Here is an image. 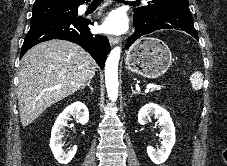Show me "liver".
<instances>
[{
	"instance_id": "1",
	"label": "liver",
	"mask_w": 227,
	"mask_h": 166,
	"mask_svg": "<svg viewBox=\"0 0 227 166\" xmlns=\"http://www.w3.org/2000/svg\"><path fill=\"white\" fill-rule=\"evenodd\" d=\"M97 64L79 45L49 40L31 48L22 58L18 105L27 126L48 107L83 88L93 78Z\"/></svg>"
}]
</instances>
